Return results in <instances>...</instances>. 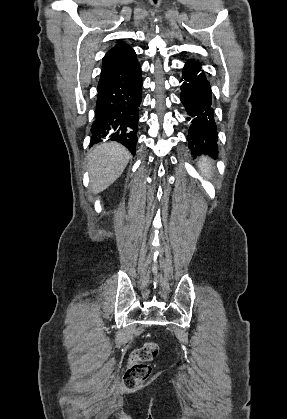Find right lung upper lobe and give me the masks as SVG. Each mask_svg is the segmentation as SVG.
<instances>
[{
  "label": "right lung upper lobe",
  "mask_w": 287,
  "mask_h": 419,
  "mask_svg": "<svg viewBox=\"0 0 287 419\" xmlns=\"http://www.w3.org/2000/svg\"><path fill=\"white\" fill-rule=\"evenodd\" d=\"M139 65L134 50L119 41L103 58L101 77L98 86L125 76Z\"/></svg>",
  "instance_id": "right-lung-upper-lobe-1"
}]
</instances>
